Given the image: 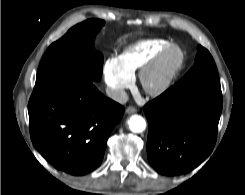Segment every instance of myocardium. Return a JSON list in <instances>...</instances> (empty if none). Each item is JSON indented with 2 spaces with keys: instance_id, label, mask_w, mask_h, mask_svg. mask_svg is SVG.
Instances as JSON below:
<instances>
[{
  "instance_id": "1",
  "label": "myocardium",
  "mask_w": 245,
  "mask_h": 195,
  "mask_svg": "<svg viewBox=\"0 0 245 195\" xmlns=\"http://www.w3.org/2000/svg\"><path fill=\"white\" fill-rule=\"evenodd\" d=\"M184 63V54L177 45H170L146 63L138 73L141 89L148 95L157 96L166 91ZM155 78V81H151Z\"/></svg>"
}]
</instances>
